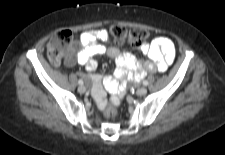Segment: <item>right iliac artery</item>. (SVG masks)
Returning a JSON list of instances; mask_svg holds the SVG:
<instances>
[{"label": "right iliac artery", "mask_w": 225, "mask_h": 155, "mask_svg": "<svg viewBox=\"0 0 225 155\" xmlns=\"http://www.w3.org/2000/svg\"><path fill=\"white\" fill-rule=\"evenodd\" d=\"M78 83L80 84V85H82L83 84V80H78Z\"/></svg>", "instance_id": "obj_1"}]
</instances>
